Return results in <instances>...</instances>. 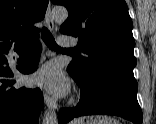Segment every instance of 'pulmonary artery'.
I'll return each mask as SVG.
<instances>
[{
	"mask_svg": "<svg viewBox=\"0 0 156 124\" xmlns=\"http://www.w3.org/2000/svg\"><path fill=\"white\" fill-rule=\"evenodd\" d=\"M75 43H76V41L74 38H68V37H64V36H61L59 38V45L62 47H70V46L75 45Z\"/></svg>",
	"mask_w": 156,
	"mask_h": 124,
	"instance_id": "e3ab8cb5",
	"label": "pulmonary artery"
}]
</instances>
